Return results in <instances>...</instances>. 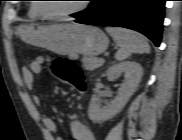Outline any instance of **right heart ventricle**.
<instances>
[{"label":"right heart ventricle","instance_id":"1","mask_svg":"<svg viewBox=\"0 0 182 140\" xmlns=\"http://www.w3.org/2000/svg\"><path fill=\"white\" fill-rule=\"evenodd\" d=\"M30 14H31L32 16H36V12L34 11V6H31V7H30Z\"/></svg>","mask_w":182,"mask_h":140}]
</instances>
